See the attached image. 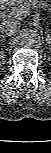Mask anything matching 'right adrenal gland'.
Instances as JSON below:
<instances>
[{
    "label": "right adrenal gland",
    "mask_w": 51,
    "mask_h": 153,
    "mask_svg": "<svg viewBox=\"0 0 51 153\" xmlns=\"http://www.w3.org/2000/svg\"><path fill=\"white\" fill-rule=\"evenodd\" d=\"M0 38H1V39H0L1 41H3V40L6 39L4 36H0Z\"/></svg>",
    "instance_id": "obj_1"
}]
</instances>
